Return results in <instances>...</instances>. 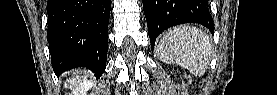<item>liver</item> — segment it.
<instances>
[{
  "label": "liver",
  "mask_w": 277,
  "mask_h": 95,
  "mask_svg": "<svg viewBox=\"0 0 277 95\" xmlns=\"http://www.w3.org/2000/svg\"><path fill=\"white\" fill-rule=\"evenodd\" d=\"M81 78H83V76L81 75V71H77V72H75L73 75H72V77H71V79L69 80V81H66V83L64 84V87L66 88L67 87V82L69 83H71V84H74V85H76V88H75V93H80V91H81V85H78L79 84V82L81 81Z\"/></svg>",
  "instance_id": "6515ba94"
}]
</instances>
